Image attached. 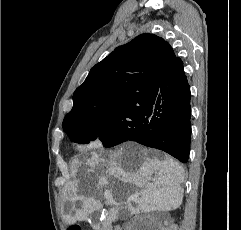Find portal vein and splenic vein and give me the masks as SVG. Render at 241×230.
<instances>
[{"mask_svg": "<svg viewBox=\"0 0 241 230\" xmlns=\"http://www.w3.org/2000/svg\"><path fill=\"white\" fill-rule=\"evenodd\" d=\"M107 200L111 201L112 197L110 195H104ZM131 199L136 200V197H132Z\"/></svg>", "mask_w": 241, "mask_h": 230, "instance_id": "1", "label": "portal vein and splenic vein"}]
</instances>
